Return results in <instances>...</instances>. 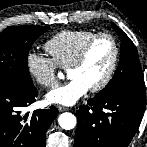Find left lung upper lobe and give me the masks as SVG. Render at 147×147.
<instances>
[{
	"label": "left lung upper lobe",
	"instance_id": "obj_1",
	"mask_svg": "<svg viewBox=\"0 0 147 147\" xmlns=\"http://www.w3.org/2000/svg\"><path fill=\"white\" fill-rule=\"evenodd\" d=\"M113 27L122 38L120 63L113 78L96 96L108 97L123 92L145 95L143 71L134 44L118 26L113 24Z\"/></svg>",
	"mask_w": 147,
	"mask_h": 147
}]
</instances>
